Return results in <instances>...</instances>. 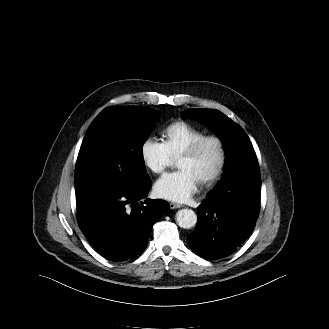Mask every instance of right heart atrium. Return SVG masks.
<instances>
[{
    "label": "right heart atrium",
    "mask_w": 329,
    "mask_h": 329,
    "mask_svg": "<svg viewBox=\"0 0 329 329\" xmlns=\"http://www.w3.org/2000/svg\"><path fill=\"white\" fill-rule=\"evenodd\" d=\"M140 155L145 166L153 173L160 174L172 163L173 157L164 142L152 137L143 140Z\"/></svg>",
    "instance_id": "right-heart-atrium-1"
}]
</instances>
